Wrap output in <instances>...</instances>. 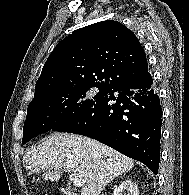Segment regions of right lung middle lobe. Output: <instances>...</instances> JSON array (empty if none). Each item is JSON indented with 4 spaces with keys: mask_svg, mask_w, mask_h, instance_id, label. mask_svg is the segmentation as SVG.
I'll use <instances>...</instances> for the list:
<instances>
[{
    "mask_svg": "<svg viewBox=\"0 0 189 195\" xmlns=\"http://www.w3.org/2000/svg\"><path fill=\"white\" fill-rule=\"evenodd\" d=\"M91 86H75L57 90L30 102L23 127L22 143L33 137L54 130L56 127L91 108L105 95L106 88H98V93L91 97Z\"/></svg>",
    "mask_w": 189,
    "mask_h": 195,
    "instance_id": "right-lung-middle-lobe-1",
    "label": "right lung middle lobe"
}]
</instances>
